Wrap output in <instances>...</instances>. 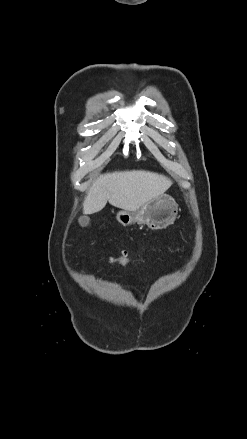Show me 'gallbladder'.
Here are the masks:
<instances>
[{
	"instance_id": "obj_1",
	"label": "gallbladder",
	"mask_w": 247,
	"mask_h": 439,
	"mask_svg": "<svg viewBox=\"0 0 247 439\" xmlns=\"http://www.w3.org/2000/svg\"><path fill=\"white\" fill-rule=\"evenodd\" d=\"M89 221H90V219L87 216H82L79 218V223L82 227L87 226L89 224Z\"/></svg>"
}]
</instances>
